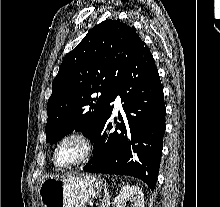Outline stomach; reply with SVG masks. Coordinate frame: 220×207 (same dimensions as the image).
Listing matches in <instances>:
<instances>
[{
  "mask_svg": "<svg viewBox=\"0 0 220 207\" xmlns=\"http://www.w3.org/2000/svg\"><path fill=\"white\" fill-rule=\"evenodd\" d=\"M101 182L93 175L71 173L45 179L39 188L42 207H83L99 195Z\"/></svg>",
  "mask_w": 220,
  "mask_h": 207,
  "instance_id": "obj_1",
  "label": "stomach"
}]
</instances>
